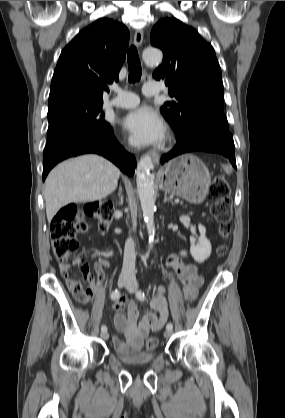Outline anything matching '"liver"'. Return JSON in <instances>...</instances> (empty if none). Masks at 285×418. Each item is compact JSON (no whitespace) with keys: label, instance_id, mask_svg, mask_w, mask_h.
<instances>
[{"label":"liver","instance_id":"1","mask_svg":"<svg viewBox=\"0 0 285 418\" xmlns=\"http://www.w3.org/2000/svg\"><path fill=\"white\" fill-rule=\"evenodd\" d=\"M120 170L105 158L88 154L60 163L45 181L48 222L70 203L101 200L117 187Z\"/></svg>","mask_w":285,"mask_h":418}]
</instances>
